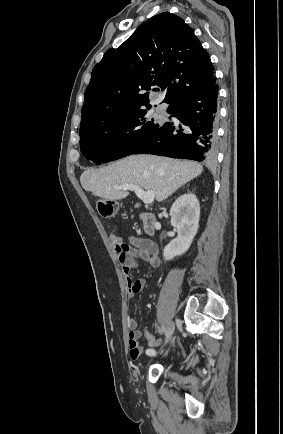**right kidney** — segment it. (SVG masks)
Instances as JSON below:
<instances>
[{
    "instance_id": "right-kidney-1",
    "label": "right kidney",
    "mask_w": 283,
    "mask_h": 434,
    "mask_svg": "<svg viewBox=\"0 0 283 434\" xmlns=\"http://www.w3.org/2000/svg\"><path fill=\"white\" fill-rule=\"evenodd\" d=\"M170 215L171 225L178 235L164 248L165 260L180 256L189 249L199 227V201L192 193L184 194L173 203Z\"/></svg>"
}]
</instances>
